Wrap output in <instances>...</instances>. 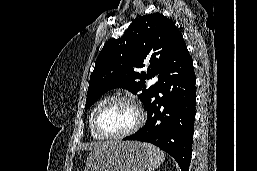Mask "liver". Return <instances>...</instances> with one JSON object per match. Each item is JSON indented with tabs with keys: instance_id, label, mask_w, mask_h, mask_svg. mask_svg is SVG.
Returning <instances> with one entry per match:
<instances>
[{
	"instance_id": "obj_1",
	"label": "liver",
	"mask_w": 257,
	"mask_h": 171,
	"mask_svg": "<svg viewBox=\"0 0 257 171\" xmlns=\"http://www.w3.org/2000/svg\"><path fill=\"white\" fill-rule=\"evenodd\" d=\"M112 142H103V143H95L92 146H87L86 148L92 151H97L101 148H103L104 146H107L109 144H111Z\"/></svg>"
}]
</instances>
